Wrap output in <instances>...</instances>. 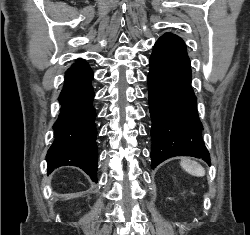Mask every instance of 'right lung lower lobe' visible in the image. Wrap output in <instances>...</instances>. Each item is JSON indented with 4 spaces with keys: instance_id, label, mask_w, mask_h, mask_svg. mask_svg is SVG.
<instances>
[{
    "instance_id": "obj_1",
    "label": "right lung lower lobe",
    "mask_w": 250,
    "mask_h": 235,
    "mask_svg": "<svg viewBox=\"0 0 250 235\" xmlns=\"http://www.w3.org/2000/svg\"><path fill=\"white\" fill-rule=\"evenodd\" d=\"M93 76L83 59H77L65 73V84L58 97L61 110L54 124L55 139L46 155L48 173L70 165L81 168L94 182L97 181Z\"/></svg>"
}]
</instances>
